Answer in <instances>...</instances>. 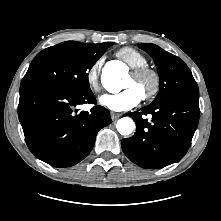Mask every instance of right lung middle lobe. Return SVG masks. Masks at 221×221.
I'll use <instances>...</instances> for the list:
<instances>
[{
  "label": "right lung middle lobe",
  "mask_w": 221,
  "mask_h": 221,
  "mask_svg": "<svg viewBox=\"0 0 221 221\" xmlns=\"http://www.w3.org/2000/svg\"><path fill=\"white\" fill-rule=\"evenodd\" d=\"M112 45L66 41L46 48L32 60L21 84L43 82L72 91L90 90L88 71Z\"/></svg>",
  "instance_id": "obj_1"
}]
</instances>
